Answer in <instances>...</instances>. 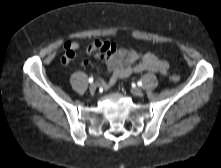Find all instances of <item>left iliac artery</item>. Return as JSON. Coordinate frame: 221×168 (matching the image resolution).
Returning <instances> with one entry per match:
<instances>
[{"label":"left iliac artery","mask_w":221,"mask_h":168,"mask_svg":"<svg viewBox=\"0 0 221 168\" xmlns=\"http://www.w3.org/2000/svg\"><path fill=\"white\" fill-rule=\"evenodd\" d=\"M137 85H138V86H142V82H141V81H138V82H137Z\"/></svg>","instance_id":"1"}]
</instances>
